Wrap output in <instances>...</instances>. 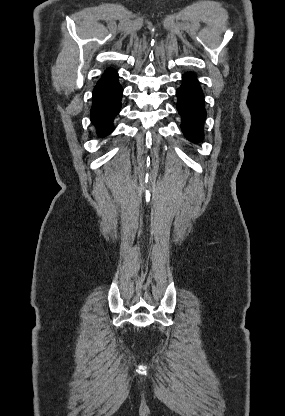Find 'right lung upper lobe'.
Returning a JSON list of instances; mask_svg holds the SVG:
<instances>
[{"label":"right lung upper lobe","instance_id":"cb5924a9","mask_svg":"<svg viewBox=\"0 0 285 416\" xmlns=\"http://www.w3.org/2000/svg\"><path fill=\"white\" fill-rule=\"evenodd\" d=\"M116 71L113 68H108L106 70V72L103 74V76L101 77V79L99 80V82H102L104 80H107L113 76H115Z\"/></svg>","mask_w":285,"mask_h":416}]
</instances>
